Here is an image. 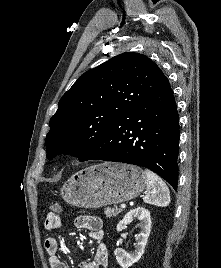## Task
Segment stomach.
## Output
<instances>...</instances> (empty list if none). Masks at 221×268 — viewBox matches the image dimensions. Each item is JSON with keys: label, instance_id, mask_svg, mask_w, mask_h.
<instances>
[{"label": "stomach", "instance_id": "0dacf381", "mask_svg": "<svg viewBox=\"0 0 221 268\" xmlns=\"http://www.w3.org/2000/svg\"><path fill=\"white\" fill-rule=\"evenodd\" d=\"M147 183L137 166L105 162L72 175L62 186L64 201L79 208H99L136 198Z\"/></svg>", "mask_w": 221, "mask_h": 268}]
</instances>
